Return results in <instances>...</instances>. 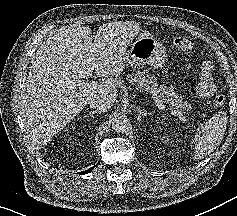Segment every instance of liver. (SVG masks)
Segmentation results:
<instances>
[{
  "mask_svg": "<svg viewBox=\"0 0 237 216\" xmlns=\"http://www.w3.org/2000/svg\"><path fill=\"white\" fill-rule=\"evenodd\" d=\"M88 27L62 28L43 42L23 77L20 110L28 136L39 145L50 143L86 106L90 97L104 92L116 101L124 85L118 77L125 67L113 40L92 43ZM93 74L100 82L85 81ZM87 83V84H86Z\"/></svg>",
  "mask_w": 237,
  "mask_h": 216,
  "instance_id": "6515ba94",
  "label": "liver"
}]
</instances>
